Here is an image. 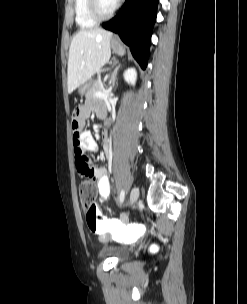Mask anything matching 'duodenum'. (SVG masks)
<instances>
[{
    "mask_svg": "<svg viewBox=\"0 0 247 304\" xmlns=\"http://www.w3.org/2000/svg\"><path fill=\"white\" fill-rule=\"evenodd\" d=\"M97 115H98V117H100V118L103 117L104 111H98V112H97Z\"/></svg>",
    "mask_w": 247,
    "mask_h": 304,
    "instance_id": "obj_1",
    "label": "duodenum"
}]
</instances>
